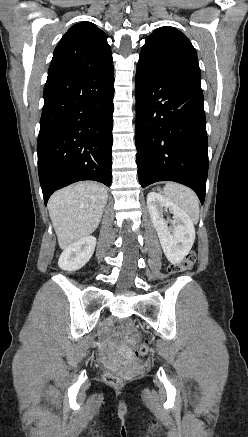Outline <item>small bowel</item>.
Returning <instances> with one entry per match:
<instances>
[{
  "mask_svg": "<svg viewBox=\"0 0 248 437\" xmlns=\"http://www.w3.org/2000/svg\"><path fill=\"white\" fill-rule=\"evenodd\" d=\"M119 335L122 338L121 348H124L128 345H132L134 343V336L130 331V327L128 324L122 325L119 331Z\"/></svg>",
  "mask_w": 248,
  "mask_h": 437,
  "instance_id": "1",
  "label": "small bowel"
}]
</instances>
